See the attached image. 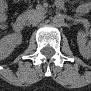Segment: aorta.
Masks as SVG:
<instances>
[{
	"label": "aorta",
	"mask_w": 91,
	"mask_h": 91,
	"mask_svg": "<svg viewBox=\"0 0 91 91\" xmlns=\"http://www.w3.org/2000/svg\"><path fill=\"white\" fill-rule=\"evenodd\" d=\"M52 22H53L54 26L61 27L64 24V16L61 14H57L53 17Z\"/></svg>",
	"instance_id": "aorta-1"
}]
</instances>
